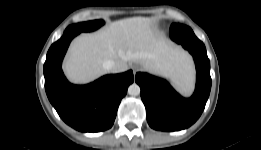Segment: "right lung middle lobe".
Here are the masks:
<instances>
[{
  "mask_svg": "<svg viewBox=\"0 0 261 150\" xmlns=\"http://www.w3.org/2000/svg\"><path fill=\"white\" fill-rule=\"evenodd\" d=\"M103 24H104V21H102V20L88 21V22L71 25V26L67 27V29L65 31H67V30H77L79 32L93 31V30L99 28Z\"/></svg>",
  "mask_w": 261,
  "mask_h": 150,
  "instance_id": "right-lung-middle-lobe-1",
  "label": "right lung middle lobe"
}]
</instances>
